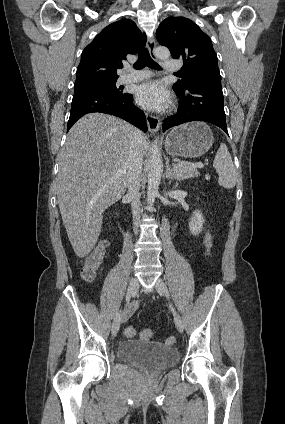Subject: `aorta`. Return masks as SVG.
<instances>
[{
    "label": "aorta",
    "instance_id": "762f6f07",
    "mask_svg": "<svg viewBox=\"0 0 285 424\" xmlns=\"http://www.w3.org/2000/svg\"><path fill=\"white\" fill-rule=\"evenodd\" d=\"M154 54L161 60H166L170 57V51L166 47H157L154 50ZM161 171V153L156 141L151 148V155L148 162L147 198L149 203V210H152L153 203L158 194V188L161 181Z\"/></svg>",
    "mask_w": 285,
    "mask_h": 424
}]
</instances>
